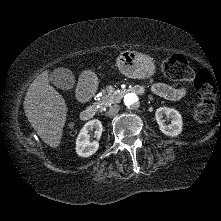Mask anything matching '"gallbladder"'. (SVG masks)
<instances>
[{
  "label": "gallbladder",
  "instance_id": "1",
  "mask_svg": "<svg viewBox=\"0 0 221 221\" xmlns=\"http://www.w3.org/2000/svg\"><path fill=\"white\" fill-rule=\"evenodd\" d=\"M51 83L58 89L69 91L75 86V75L68 68H56L50 74Z\"/></svg>",
  "mask_w": 221,
  "mask_h": 221
}]
</instances>
